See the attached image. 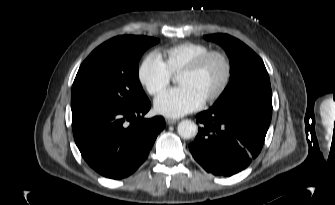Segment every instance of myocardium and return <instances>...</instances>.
Masks as SVG:
<instances>
[{
	"label": "myocardium",
	"instance_id": "1",
	"mask_svg": "<svg viewBox=\"0 0 335 205\" xmlns=\"http://www.w3.org/2000/svg\"><path fill=\"white\" fill-rule=\"evenodd\" d=\"M213 58H219L224 65V76L223 79L221 81L220 86L218 87V89L210 96H208L207 98L204 99L205 102L207 103H212L217 101L219 98H221V96L225 93L231 77H232V64L231 61L229 59V57L221 51H217V50H211L205 54H203L202 56H200L199 58H197L193 63H191L189 66H187L186 68H184L179 75H183V74H196L198 72H200L205 66L206 64Z\"/></svg>",
	"mask_w": 335,
	"mask_h": 205
}]
</instances>
